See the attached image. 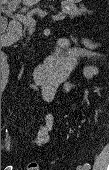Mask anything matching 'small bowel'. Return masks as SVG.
<instances>
[{
    "label": "small bowel",
    "mask_w": 109,
    "mask_h": 170,
    "mask_svg": "<svg viewBox=\"0 0 109 170\" xmlns=\"http://www.w3.org/2000/svg\"><path fill=\"white\" fill-rule=\"evenodd\" d=\"M93 73H94V70H90L87 74L88 77H92ZM51 95L52 94L49 91V89L45 90L44 92L45 99H50ZM52 125H53V116L52 114H47L45 117L44 124L40 127L35 137V143L37 145L42 146V145H45L49 141Z\"/></svg>",
    "instance_id": "1"
}]
</instances>
